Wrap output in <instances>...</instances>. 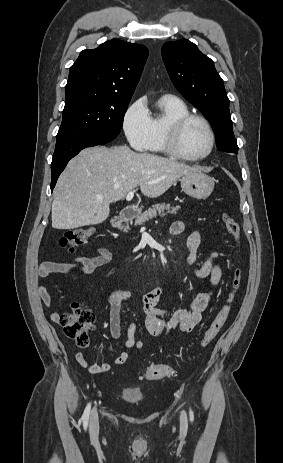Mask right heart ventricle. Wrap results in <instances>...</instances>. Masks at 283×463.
Listing matches in <instances>:
<instances>
[{"label": "right heart ventricle", "instance_id": "obj_1", "mask_svg": "<svg viewBox=\"0 0 283 463\" xmlns=\"http://www.w3.org/2000/svg\"><path fill=\"white\" fill-rule=\"evenodd\" d=\"M159 112L150 115L151 138L147 150L159 154H167L165 132L168 124L174 119L189 113L187 105L174 96H163L158 101Z\"/></svg>", "mask_w": 283, "mask_h": 463}]
</instances>
